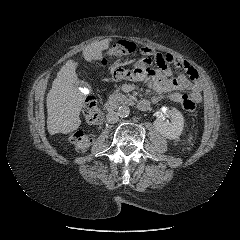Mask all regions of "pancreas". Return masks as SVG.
<instances>
[{
    "label": "pancreas",
    "mask_w": 240,
    "mask_h": 240,
    "mask_svg": "<svg viewBox=\"0 0 240 240\" xmlns=\"http://www.w3.org/2000/svg\"><path fill=\"white\" fill-rule=\"evenodd\" d=\"M131 97H127L126 95L122 94L119 89L115 90L109 97L108 101L112 103H124L128 101Z\"/></svg>",
    "instance_id": "obj_1"
}]
</instances>
